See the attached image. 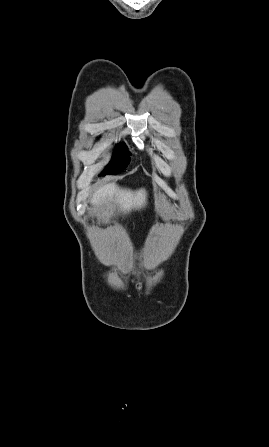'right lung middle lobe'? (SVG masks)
Instances as JSON below:
<instances>
[{"label":"right lung middle lobe","instance_id":"right-lung-middle-lobe-1","mask_svg":"<svg viewBox=\"0 0 269 447\" xmlns=\"http://www.w3.org/2000/svg\"><path fill=\"white\" fill-rule=\"evenodd\" d=\"M130 162V152L125 145H120L117 152L114 154L111 162L106 166V169L101 173L102 176L106 174H117L123 171Z\"/></svg>","mask_w":269,"mask_h":447}]
</instances>
